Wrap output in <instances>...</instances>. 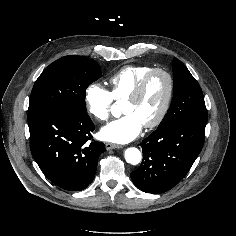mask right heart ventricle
<instances>
[{
	"label": "right heart ventricle",
	"instance_id": "1",
	"mask_svg": "<svg viewBox=\"0 0 236 236\" xmlns=\"http://www.w3.org/2000/svg\"><path fill=\"white\" fill-rule=\"evenodd\" d=\"M152 68L149 65H129L114 73L108 81L113 99L126 100L142 77Z\"/></svg>",
	"mask_w": 236,
	"mask_h": 236
}]
</instances>
